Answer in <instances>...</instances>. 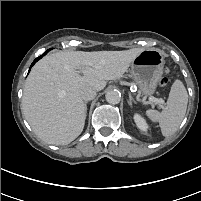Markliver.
Wrapping results in <instances>:
<instances>
[{
  "label": "liver",
  "mask_w": 201,
  "mask_h": 201,
  "mask_svg": "<svg viewBox=\"0 0 201 201\" xmlns=\"http://www.w3.org/2000/svg\"><path fill=\"white\" fill-rule=\"evenodd\" d=\"M142 51H64L43 57L32 68L22 97V113L34 133L53 145L76 139L87 110L80 90H103L106 81L121 77Z\"/></svg>",
  "instance_id": "liver-1"
}]
</instances>
